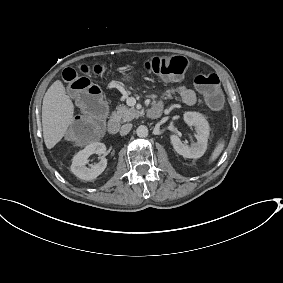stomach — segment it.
Instances as JSON below:
<instances>
[{
    "mask_svg": "<svg viewBox=\"0 0 283 283\" xmlns=\"http://www.w3.org/2000/svg\"><path fill=\"white\" fill-rule=\"evenodd\" d=\"M122 80L127 84L133 83L135 81L133 72L124 73Z\"/></svg>",
    "mask_w": 283,
    "mask_h": 283,
    "instance_id": "1",
    "label": "stomach"
}]
</instances>
